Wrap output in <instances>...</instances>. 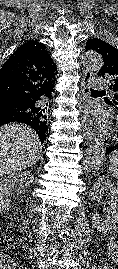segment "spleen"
<instances>
[{
    "instance_id": "spleen-1",
    "label": "spleen",
    "mask_w": 118,
    "mask_h": 269,
    "mask_svg": "<svg viewBox=\"0 0 118 269\" xmlns=\"http://www.w3.org/2000/svg\"><path fill=\"white\" fill-rule=\"evenodd\" d=\"M110 171L113 177L118 179V150L110 157Z\"/></svg>"
}]
</instances>
